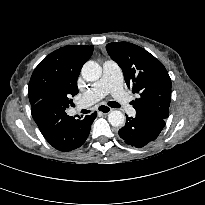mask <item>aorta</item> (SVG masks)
<instances>
[{
    "label": "aorta",
    "instance_id": "1",
    "mask_svg": "<svg viewBox=\"0 0 205 205\" xmlns=\"http://www.w3.org/2000/svg\"><path fill=\"white\" fill-rule=\"evenodd\" d=\"M82 77L90 82L98 80L102 75L101 66L94 61H87L81 70ZM108 121L114 127H121L125 123V115L119 110L110 111Z\"/></svg>",
    "mask_w": 205,
    "mask_h": 205
}]
</instances>
